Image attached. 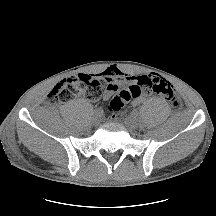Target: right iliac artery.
<instances>
[{
	"label": "right iliac artery",
	"mask_w": 216,
	"mask_h": 216,
	"mask_svg": "<svg viewBox=\"0 0 216 216\" xmlns=\"http://www.w3.org/2000/svg\"><path fill=\"white\" fill-rule=\"evenodd\" d=\"M94 112H95L96 115H99V116H100V115H103V110H102L101 108L95 109Z\"/></svg>",
	"instance_id": "1"
}]
</instances>
